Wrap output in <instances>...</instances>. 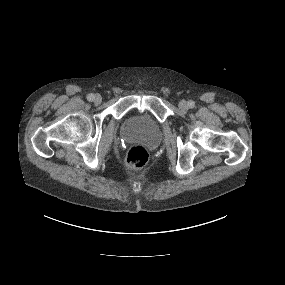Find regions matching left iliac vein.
Instances as JSON below:
<instances>
[{
  "instance_id": "4c4485c4",
  "label": "left iliac vein",
  "mask_w": 285,
  "mask_h": 285,
  "mask_svg": "<svg viewBox=\"0 0 285 285\" xmlns=\"http://www.w3.org/2000/svg\"><path fill=\"white\" fill-rule=\"evenodd\" d=\"M178 107L181 111L186 112L188 110V104L186 101L182 100L179 102Z\"/></svg>"
}]
</instances>
